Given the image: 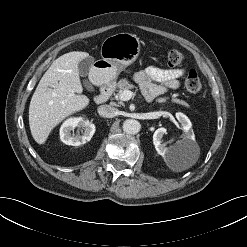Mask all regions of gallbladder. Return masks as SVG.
<instances>
[{
  "label": "gallbladder",
  "mask_w": 247,
  "mask_h": 247,
  "mask_svg": "<svg viewBox=\"0 0 247 247\" xmlns=\"http://www.w3.org/2000/svg\"><path fill=\"white\" fill-rule=\"evenodd\" d=\"M93 63H94V59L91 56H88L83 60H81L78 64L79 74L83 77L87 76L92 69ZM84 85L87 90L90 91L93 90V86L89 81H85Z\"/></svg>",
  "instance_id": "obj_1"
}]
</instances>
